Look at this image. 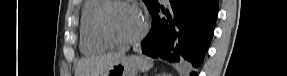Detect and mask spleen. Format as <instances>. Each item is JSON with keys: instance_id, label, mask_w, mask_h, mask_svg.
Listing matches in <instances>:
<instances>
[{"instance_id": "obj_1", "label": "spleen", "mask_w": 287, "mask_h": 76, "mask_svg": "<svg viewBox=\"0 0 287 76\" xmlns=\"http://www.w3.org/2000/svg\"><path fill=\"white\" fill-rule=\"evenodd\" d=\"M133 58L139 63L141 71H148L153 67V62L147 57L133 56Z\"/></svg>"}]
</instances>
